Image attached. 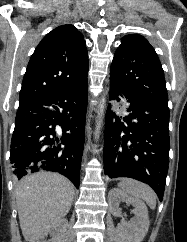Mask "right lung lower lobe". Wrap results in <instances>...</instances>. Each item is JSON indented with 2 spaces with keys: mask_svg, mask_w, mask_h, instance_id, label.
<instances>
[{
  "mask_svg": "<svg viewBox=\"0 0 187 242\" xmlns=\"http://www.w3.org/2000/svg\"><path fill=\"white\" fill-rule=\"evenodd\" d=\"M87 97L85 80L19 104L10 150L13 175L58 172L79 188Z\"/></svg>",
  "mask_w": 187,
  "mask_h": 242,
  "instance_id": "98d812e1",
  "label": "right lung lower lobe"
}]
</instances>
